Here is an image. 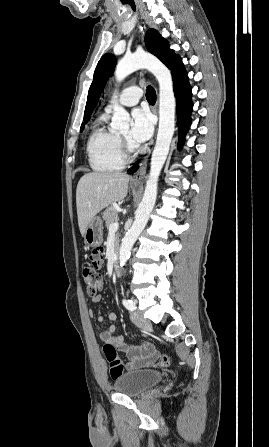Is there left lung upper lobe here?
<instances>
[{"label": "left lung upper lobe", "instance_id": "5c2ea615", "mask_svg": "<svg viewBox=\"0 0 269 447\" xmlns=\"http://www.w3.org/2000/svg\"><path fill=\"white\" fill-rule=\"evenodd\" d=\"M145 42L147 49L158 57L169 69L179 57L169 48L168 42L154 29H150L146 33ZM115 65L116 58L112 54L103 55L98 62L94 73V79L88 93L84 113V123L81 125V131L83 130L85 123L89 120L107 79L114 72Z\"/></svg>", "mask_w": 269, "mask_h": 447}]
</instances>
